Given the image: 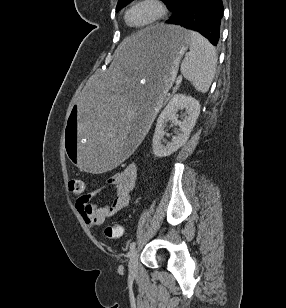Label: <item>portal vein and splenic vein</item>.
I'll return each mask as SVG.
<instances>
[{"instance_id": "1", "label": "portal vein and splenic vein", "mask_w": 286, "mask_h": 308, "mask_svg": "<svg viewBox=\"0 0 286 308\" xmlns=\"http://www.w3.org/2000/svg\"><path fill=\"white\" fill-rule=\"evenodd\" d=\"M181 82H182V77L181 76H179L177 79H176V85H180L181 84Z\"/></svg>"}]
</instances>
